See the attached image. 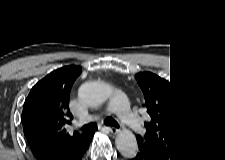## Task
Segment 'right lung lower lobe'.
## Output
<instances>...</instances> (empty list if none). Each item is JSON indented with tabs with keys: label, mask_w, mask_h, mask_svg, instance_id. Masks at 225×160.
I'll list each match as a JSON object with an SVG mask.
<instances>
[{
	"label": "right lung lower lobe",
	"mask_w": 225,
	"mask_h": 160,
	"mask_svg": "<svg viewBox=\"0 0 225 160\" xmlns=\"http://www.w3.org/2000/svg\"><path fill=\"white\" fill-rule=\"evenodd\" d=\"M94 130L95 128L92 129V136L89 139H87L84 143L76 147L75 149H72L70 151L52 150L51 153L42 154V155L36 154L37 158H40L41 160H81V158L84 156L86 150L88 149L92 141Z\"/></svg>",
	"instance_id": "1"
}]
</instances>
